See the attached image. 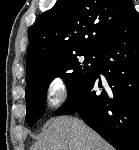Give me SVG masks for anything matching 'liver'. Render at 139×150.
Here are the masks:
<instances>
[{"mask_svg":"<svg viewBox=\"0 0 139 150\" xmlns=\"http://www.w3.org/2000/svg\"><path fill=\"white\" fill-rule=\"evenodd\" d=\"M33 150H112L95 131L73 117L48 121L41 139Z\"/></svg>","mask_w":139,"mask_h":150,"instance_id":"obj_1","label":"liver"}]
</instances>
